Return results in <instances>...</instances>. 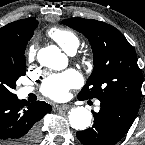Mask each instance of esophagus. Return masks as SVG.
<instances>
[{"instance_id":"34e87169","label":"esophagus","mask_w":145,"mask_h":145,"mask_svg":"<svg viewBox=\"0 0 145 145\" xmlns=\"http://www.w3.org/2000/svg\"><path fill=\"white\" fill-rule=\"evenodd\" d=\"M69 108H70V106L67 105V104L57 105V106H56V109H57V110H68Z\"/></svg>"}]
</instances>
